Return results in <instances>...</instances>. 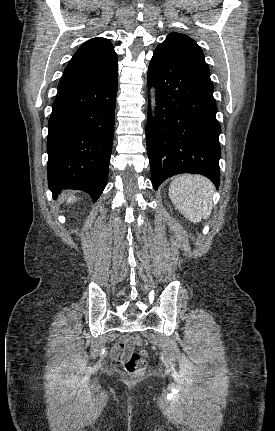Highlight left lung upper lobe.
I'll return each mask as SVG.
<instances>
[{
  "label": "left lung upper lobe",
  "mask_w": 275,
  "mask_h": 431,
  "mask_svg": "<svg viewBox=\"0 0 275 431\" xmlns=\"http://www.w3.org/2000/svg\"><path fill=\"white\" fill-rule=\"evenodd\" d=\"M158 46L166 48L174 53L180 60L190 66L213 91V83L210 79V71L204 60V54L197 43L185 34L172 32L166 40Z\"/></svg>",
  "instance_id": "5c2ea615"
}]
</instances>
